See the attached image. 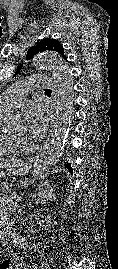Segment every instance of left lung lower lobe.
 Instances as JSON below:
<instances>
[{
    "mask_svg": "<svg viewBox=\"0 0 118 269\" xmlns=\"http://www.w3.org/2000/svg\"><path fill=\"white\" fill-rule=\"evenodd\" d=\"M65 166L70 172H72V168H71L70 163H65Z\"/></svg>",
    "mask_w": 118,
    "mask_h": 269,
    "instance_id": "obj_1",
    "label": "left lung lower lobe"
}]
</instances>
